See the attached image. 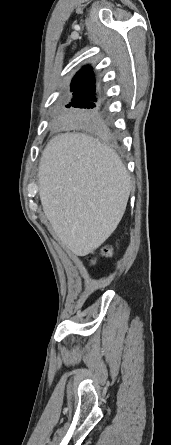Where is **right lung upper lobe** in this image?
<instances>
[{
  "mask_svg": "<svg viewBox=\"0 0 171 445\" xmlns=\"http://www.w3.org/2000/svg\"><path fill=\"white\" fill-rule=\"evenodd\" d=\"M73 94L95 95V81L89 65L82 67L71 82Z\"/></svg>",
  "mask_w": 171,
  "mask_h": 445,
  "instance_id": "obj_1",
  "label": "right lung upper lobe"
}]
</instances>
